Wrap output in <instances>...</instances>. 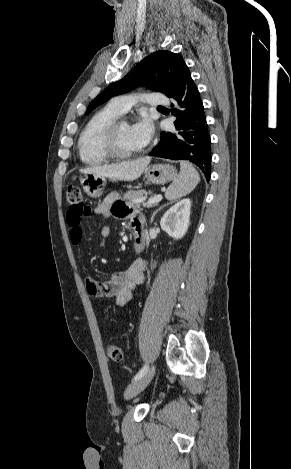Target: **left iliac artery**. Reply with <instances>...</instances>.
I'll return each mask as SVG.
<instances>
[{"instance_id": "1", "label": "left iliac artery", "mask_w": 291, "mask_h": 469, "mask_svg": "<svg viewBox=\"0 0 291 469\" xmlns=\"http://www.w3.org/2000/svg\"><path fill=\"white\" fill-rule=\"evenodd\" d=\"M148 371V365H144L140 371L135 375L134 379L133 380H137L139 378H141L146 372Z\"/></svg>"}]
</instances>
